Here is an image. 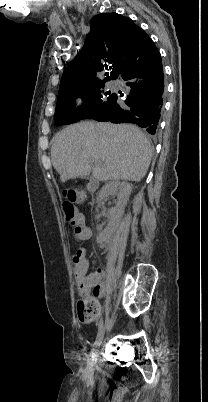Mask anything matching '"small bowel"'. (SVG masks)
<instances>
[{
	"instance_id": "small-bowel-1",
	"label": "small bowel",
	"mask_w": 208,
	"mask_h": 402,
	"mask_svg": "<svg viewBox=\"0 0 208 402\" xmlns=\"http://www.w3.org/2000/svg\"><path fill=\"white\" fill-rule=\"evenodd\" d=\"M85 236H82L80 238V241L82 243H85L87 241V239L91 236V230L89 228H87L85 225ZM83 252V251H82ZM84 254V252H83ZM88 270H89V262L86 259L85 261V266L84 267H74V277H75V281L77 284V289H78V293L85 297L86 299L89 298L88 295H83L82 294V281L83 280H94L95 281V296L98 297H102L105 294V281L106 278L103 276H101L100 278L98 277L100 275V272L97 270H94L92 272V274H88ZM80 324L79 327L81 330H96L98 327V324L101 321V318L99 315H83L80 318ZM108 329L113 330L116 327L115 322L110 321L107 324Z\"/></svg>"
}]
</instances>
